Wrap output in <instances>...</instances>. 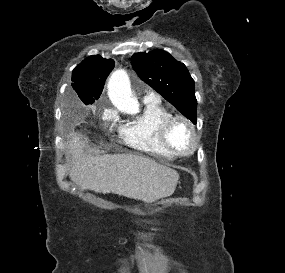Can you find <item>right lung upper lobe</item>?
Returning <instances> with one entry per match:
<instances>
[{"instance_id":"obj_1","label":"right lung upper lobe","mask_w":285,"mask_h":273,"mask_svg":"<svg viewBox=\"0 0 285 273\" xmlns=\"http://www.w3.org/2000/svg\"><path fill=\"white\" fill-rule=\"evenodd\" d=\"M114 65L112 59L92 55L75 67L72 73V87L85 104H91L100 97L105 80Z\"/></svg>"}]
</instances>
